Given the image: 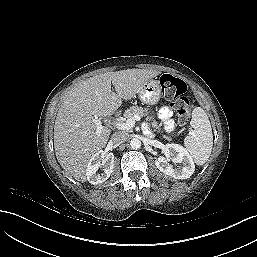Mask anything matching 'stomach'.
<instances>
[{"instance_id":"stomach-1","label":"stomach","mask_w":257,"mask_h":257,"mask_svg":"<svg viewBox=\"0 0 257 257\" xmlns=\"http://www.w3.org/2000/svg\"><path fill=\"white\" fill-rule=\"evenodd\" d=\"M138 97L143 104H157L161 98V87L157 80L150 79L139 89Z\"/></svg>"}]
</instances>
